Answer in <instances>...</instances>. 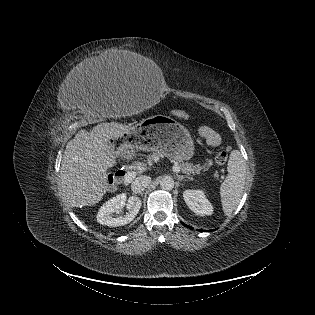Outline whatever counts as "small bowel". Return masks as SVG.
Listing matches in <instances>:
<instances>
[{
  "mask_svg": "<svg viewBox=\"0 0 315 315\" xmlns=\"http://www.w3.org/2000/svg\"><path fill=\"white\" fill-rule=\"evenodd\" d=\"M199 133L209 146L216 147L220 144V136L213 129L202 126L199 129Z\"/></svg>",
  "mask_w": 315,
  "mask_h": 315,
  "instance_id": "1",
  "label": "small bowel"
}]
</instances>
